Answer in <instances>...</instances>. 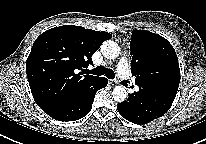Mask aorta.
Masks as SVG:
<instances>
[{"label": "aorta", "mask_w": 206, "mask_h": 144, "mask_svg": "<svg viewBox=\"0 0 206 144\" xmlns=\"http://www.w3.org/2000/svg\"><path fill=\"white\" fill-rule=\"evenodd\" d=\"M101 53L107 59H115L120 54V47L116 42L107 40L101 45ZM127 95V90L122 85L115 86L112 90V96L116 102H124Z\"/></svg>", "instance_id": "obj_1"}]
</instances>
